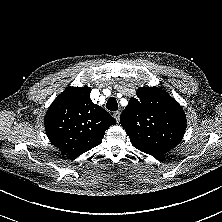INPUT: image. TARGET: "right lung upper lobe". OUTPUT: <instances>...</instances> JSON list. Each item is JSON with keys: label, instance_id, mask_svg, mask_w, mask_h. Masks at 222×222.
I'll use <instances>...</instances> for the list:
<instances>
[{"label": "right lung upper lobe", "instance_id": "obj_1", "mask_svg": "<svg viewBox=\"0 0 222 222\" xmlns=\"http://www.w3.org/2000/svg\"><path fill=\"white\" fill-rule=\"evenodd\" d=\"M90 87H68L49 107L45 129L60 151L78 156L102 142L105 131L116 120L90 99Z\"/></svg>", "mask_w": 222, "mask_h": 222}]
</instances>
